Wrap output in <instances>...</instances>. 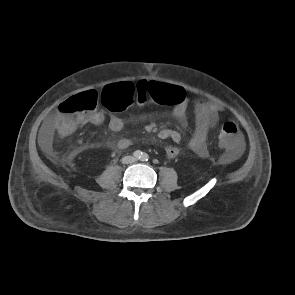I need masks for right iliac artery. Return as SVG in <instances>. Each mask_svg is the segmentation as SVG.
<instances>
[{
  "mask_svg": "<svg viewBox=\"0 0 295 295\" xmlns=\"http://www.w3.org/2000/svg\"><path fill=\"white\" fill-rule=\"evenodd\" d=\"M134 157L137 158V159H140L142 157V152L137 150L134 152Z\"/></svg>",
  "mask_w": 295,
  "mask_h": 295,
  "instance_id": "82829eb1",
  "label": "right iliac artery"
}]
</instances>
